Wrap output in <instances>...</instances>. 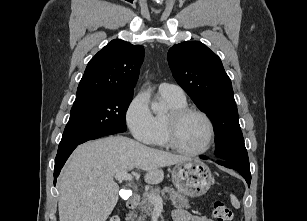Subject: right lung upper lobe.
Here are the masks:
<instances>
[{"mask_svg":"<svg viewBox=\"0 0 307 221\" xmlns=\"http://www.w3.org/2000/svg\"><path fill=\"white\" fill-rule=\"evenodd\" d=\"M144 58V48L112 40L88 63L75 102L111 93H133Z\"/></svg>","mask_w":307,"mask_h":221,"instance_id":"cb5924a9","label":"right lung upper lobe"}]
</instances>
